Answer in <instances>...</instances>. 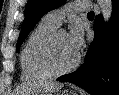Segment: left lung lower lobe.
<instances>
[{
    "mask_svg": "<svg viewBox=\"0 0 119 95\" xmlns=\"http://www.w3.org/2000/svg\"><path fill=\"white\" fill-rule=\"evenodd\" d=\"M94 33L84 63L57 80L72 82L92 95H119V0H112L107 25L101 15L96 16Z\"/></svg>",
    "mask_w": 119,
    "mask_h": 95,
    "instance_id": "obj_1",
    "label": "left lung lower lobe"
}]
</instances>
